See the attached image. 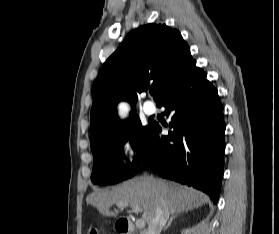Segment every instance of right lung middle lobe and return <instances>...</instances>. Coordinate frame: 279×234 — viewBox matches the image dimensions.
Instances as JSON below:
<instances>
[{
    "mask_svg": "<svg viewBox=\"0 0 279 234\" xmlns=\"http://www.w3.org/2000/svg\"><path fill=\"white\" fill-rule=\"evenodd\" d=\"M152 124L142 126L137 115L128 119L123 126L91 145L94 156L91 180L99 185H111L131 178L139 169L144 158ZM129 139L137 151V157L129 166H123L121 149Z\"/></svg>",
    "mask_w": 279,
    "mask_h": 234,
    "instance_id": "dd1d6c3e",
    "label": "right lung middle lobe"
}]
</instances>
